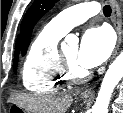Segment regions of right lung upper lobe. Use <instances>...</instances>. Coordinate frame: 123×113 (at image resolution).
Segmentation results:
<instances>
[{
    "label": "right lung upper lobe",
    "mask_w": 123,
    "mask_h": 113,
    "mask_svg": "<svg viewBox=\"0 0 123 113\" xmlns=\"http://www.w3.org/2000/svg\"><path fill=\"white\" fill-rule=\"evenodd\" d=\"M15 54H19V39H17Z\"/></svg>",
    "instance_id": "right-lung-upper-lobe-1"
}]
</instances>
